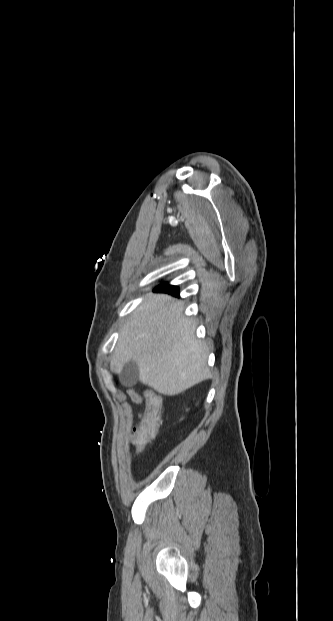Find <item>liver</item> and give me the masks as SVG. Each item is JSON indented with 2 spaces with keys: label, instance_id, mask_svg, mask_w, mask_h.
Masks as SVG:
<instances>
[{
  "label": "liver",
  "instance_id": "1",
  "mask_svg": "<svg viewBox=\"0 0 333 621\" xmlns=\"http://www.w3.org/2000/svg\"><path fill=\"white\" fill-rule=\"evenodd\" d=\"M183 304L167 294H152L122 327L111 366L120 372L136 362L139 381L174 396L207 379L208 346L195 337Z\"/></svg>",
  "mask_w": 333,
  "mask_h": 621
}]
</instances>
